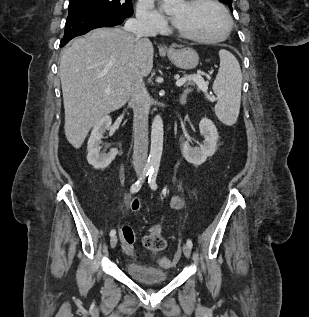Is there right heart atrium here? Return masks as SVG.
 <instances>
[{"label": "right heart atrium", "mask_w": 309, "mask_h": 317, "mask_svg": "<svg viewBox=\"0 0 309 317\" xmlns=\"http://www.w3.org/2000/svg\"><path fill=\"white\" fill-rule=\"evenodd\" d=\"M136 20L144 31L156 32L166 27L165 19L154 9L152 0H138Z\"/></svg>", "instance_id": "obj_1"}]
</instances>
